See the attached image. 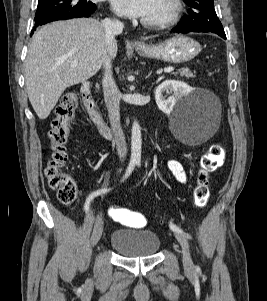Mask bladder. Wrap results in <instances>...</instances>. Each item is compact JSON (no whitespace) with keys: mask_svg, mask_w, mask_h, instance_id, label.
Masks as SVG:
<instances>
[{"mask_svg":"<svg viewBox=\"0 0 267 301\" xmlns=\"http://www.w3.org/2000/svg\"><path fill=\"white\" fill-rule=\"evenodd\" d=\"M110 246L124 257L141 258L157 253L160 238L151 230L124 228L112 233Z\"/></svg>","mask_w":267,"mask_h":301,"instance_id":"obj_1","label":"bladder"}]
</instances>
